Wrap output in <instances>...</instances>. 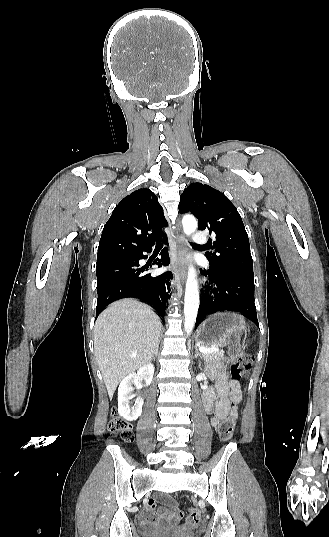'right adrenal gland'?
Returning a JSON list of instances; mask_svg holds the SVG:
<instances>
[{"mask_svg": "<svg viewBox=\"0 0 329 537\" xmlns=\"http://www.w3.org/2000/svg\"><path fill=\"white\" fill-rule=\"evenodd\" d=\"M158 348H159V341H158V343H157V346H156V350H155L153 359H154V357H157V355H158Z\"/></svg>", "mask_w": 329, "mask_h": 537, "instance_id": "right-adrenal-gland-1", "label": "right adrenal gland"}]
</instances>
